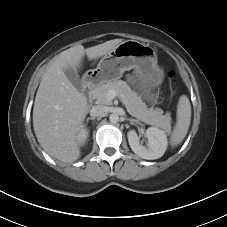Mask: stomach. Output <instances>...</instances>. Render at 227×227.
Returning <instances> with one entry per match:
<instances>
[{"label":"stomach","instance_id":"stomach-1","mask_svg":"<svg viewBox=\"0 0 227 227\" xmlns=\"http://www.w3.org/2000/svg\"><path fill=\"white\" fill-rule=\"evenodd\" d=\"M134 69L136 76L149 89L159 87L164 71L159 67L155 49L136 40L118 44L104 55L95 69L85 73L95 83L118 80L125 71Z\"/></svg>","mask_w":227,"mask_h":227}]
</instances>
